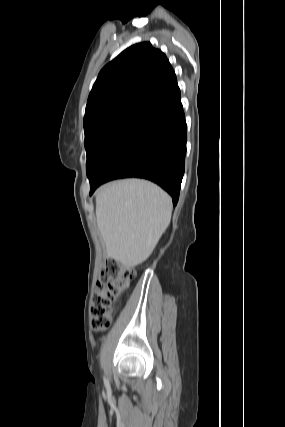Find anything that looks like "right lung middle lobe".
Returning <instances> with one entry per match:
<instances>
[{"instance_id":"1","label":"right lung middle lobe","mask_w":285,"mask_h":427,"mask_svg":"<svg viewBox=\"0 0 285 427\" xmlns=\"http://www.w3.org/2000/svg\"><path fill=\"white\" fill-rule=\"evenodd\" d=\"M143 109L125 108L98 117L84 125L87 176L93 178L101 165L135 123Z\"/></svg>"}]
</instances>
